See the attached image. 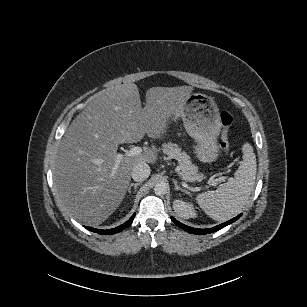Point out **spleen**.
<instances>
[{
	"instance_id": "1",
	"label": "spleen",
	"mask_w": 307,
	"mask_h": 307,
	"mask_svg": "<svg viewBox=\"0 0 307 307\" xmlns=\"http://www.w3.org/2000/svg\"><path fill=\"white\" fill-rule=\"evenodd\" d=\"M241 152L243 161L234 178L220 184L216 190L200 194L197 198L199 204L213 219L223 221L240 212L253 192L257 172L254 148L245 142Z\"/></svg>"
}]
</instances>
